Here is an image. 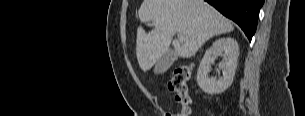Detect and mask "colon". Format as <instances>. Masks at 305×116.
<instances>
[{"label": "colon", "instance_id": "obj_1", "mask_svg": "<svg viewBox=\"0 0 305 116\" xmlns=\"http://www.w3.org/2000/svg\"><path fill=\"white\" fill-rule=\"evenodd\" d=\"M191 73V66H182L174 71L169 88L175 93V99L181 105V109L177 113H166L165 116H189L191 114L190 96L187 88V81Z\"/></svg>", "mask_w": 305, "mask_h": 116}]
</instances>
